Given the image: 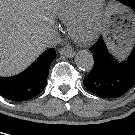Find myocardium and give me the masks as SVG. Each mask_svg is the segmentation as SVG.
Returning a JSON list of instances; mask_svg holds the SVG:
<instances>
[{
  "instance_id": "f54148a6",
  "label": "myocardium",
  "mask_w": 135,
  "mask_h": 135,
  "mask_svg": "<svg viewBox=\"0 0 135 135\" xmlns=\"http://www.w3.org/2000/svg\"><path fill=\"white\" fill-rule=\"evenodd\" d=\"M105 1L86 0L82 10L69 22L68 30L73 40L86 43L98 36L102 29Z\"/></svg>"
}]
</instances>
